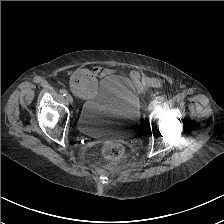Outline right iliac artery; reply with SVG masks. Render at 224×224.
Masks as SVG:
<instances>
[{"label":"right iliac artery","mask_w":224,"mask_h":224,"mask_svg":"<svg viewBox=\"0 0 224 224\" xmlns=\"http://www.w3.org/2000/svg\"><path fill=\"white\" fill-rule=\"evenodd\" d=\"M60 93L63 95V96H66L67 95V91L65 89H61L60 90Z\"/></svg>","instance_id":"82829eb1"}]
</instances>
